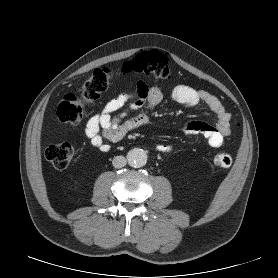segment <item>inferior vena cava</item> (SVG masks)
<instances>
[{
    "instance_id": "obj_1",
    "label": "inferior vena cava",
    "mask_w": 278,
    "mask_h": 278,
    "mask_svg": "<svg viewBox=\"0 0 278 278\" xmlns=\"http://www.w3.org/2000/svg\"><path fill=\"white\" fill-rule=\"evenodd\" d=\"M127 160L124 156H116L113 158L112 164L115 168H122L126 165Z\"/></svg>"
}]
</instances>
